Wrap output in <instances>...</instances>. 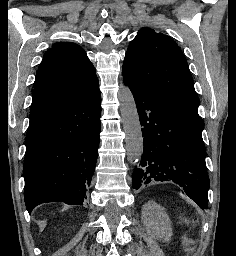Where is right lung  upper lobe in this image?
Wrapping results in <instances>:
<instances>
[{"label": "right lung upper lobe", "instance_id": "obj_1", "mask_svg": "<svg viewBox=\"0 0 236 256\" xmlns=\"http://www.w3.org/2000/svg\"><path fill=\"white\" fill-rule=\"evenodd\" d=\"M97 84L95 68L79 45L55 43L45 53L36 74L30 122Z\"/></svg>", "mask_w": 236, "mask_h": 256}]
</instances>
